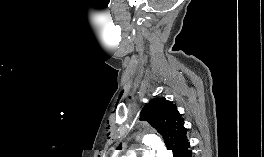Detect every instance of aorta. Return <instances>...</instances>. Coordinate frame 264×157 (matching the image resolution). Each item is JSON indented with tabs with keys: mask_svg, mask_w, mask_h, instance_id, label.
Masks as SVG:
<instances>
[{
	"mask_svg": "<svg viewBox=\"0 0 264 157\" xmlns=\"http://www.w3.org/2000/svg\"><path fill=\"white\" fill-rule=\"evenodd\" d=\"M143 142L156 149L157 157H171V153L166 150L164 144L157 136L147 135L144 137Z\"/></svg>",
	"mask_w": 264,
	"mask_h": 157,
	"instance_id": "obj_1",
	"label": "aorta"
}]
</instances>
